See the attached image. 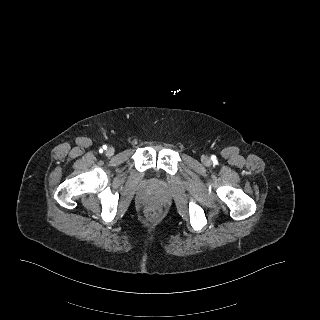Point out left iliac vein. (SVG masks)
<instances>
[{"label": "left iliac vein", "mask_w": 320, "mask_h": 320, "mask_svg": "<svg viewBox=\"0 0 320 320\" xmlns=\"http://www.w3.org/2000/svg\"><path fill=\"white\" fill-rule=\"evenodd\" d=\"M202 162L205 164V165H209L211 163V160L209 159V157L207 156H204L202 158Z\"/></svg>", "instance_id": "obj_1"}]
</instances>
